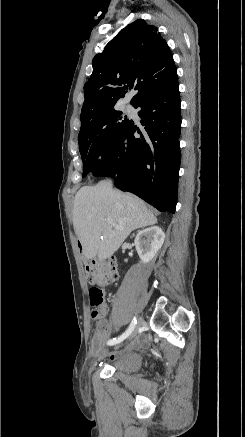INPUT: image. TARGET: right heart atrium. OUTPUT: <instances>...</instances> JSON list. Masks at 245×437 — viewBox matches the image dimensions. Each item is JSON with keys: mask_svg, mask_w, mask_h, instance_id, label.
I'll return each mask as SVG.
<instances>
[{"mask_svg": "<svg viewBox=\"0 0 245 437\" xmlns=\"http://www.w3.org/2000/svg\"><path fill=\"white\" fill-rule=\"evenodd\" d=\"M108 149L105 142L101 141L97 146V154L99 159L104 160L107 156Z\"/></svg>", "mask_w": 245, "mask_h": 437, "instance_id": "right-heart-atrium-1", "label": "right heart atrium"}]
</instances>
